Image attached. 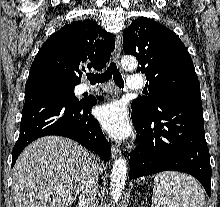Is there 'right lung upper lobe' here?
<instances>
[{"instance_id":"1","label":"right lung upper lobe","mask_w":220,"mask_h":207,"mask_svg":"<svg viewBox=\"0 0 220 207\" xmlns=\"http://www.w3.org/2000/svg\"><path fill=\"white\" fill-rule=\"evenodd\" d=\"M114 48L113 35L96 21H74L52 34L43 44L31 65L28 80L57 79L77 85L82 63L88 62V69L101 70Z\"/></svg>"}]
</instances>
